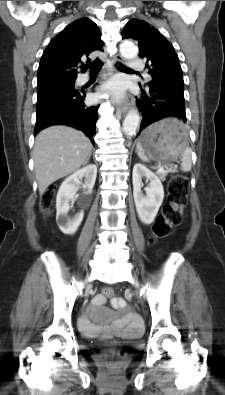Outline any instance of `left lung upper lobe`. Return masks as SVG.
Wrapping results in <instances>:
<instances>
[{
	"mask_svg": "<svg viewBox=\"0 0 225 395\" xmlns=\"http://www.w3.org/2000/svg\"><path fill=\"white\" fill-rule=\"evenodd\" d=\"M123 39L138 41L139 57L150 63V88L179 87L184 81L178 56L172 44L153 26L139 19L130 20L122 32Z\"/></svg>",
	"mask_w": 225,
	"mask_h": 395,
	"instance_id": "left-lung-upper-lobe-1",
	"label": "left lung upper lobe"
}]
</instances>
